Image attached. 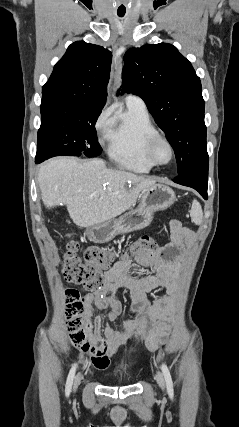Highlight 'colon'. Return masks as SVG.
I'll list each match as a JSON object with an SVG mask.
<instances>
[{
	"mask_svg": "<svg viewBox=\"0 0 239 427\" xmlns=\"http://www.w3.org/2000/svg\"><path fill=\"white\" fill-rule=\"evenodd\" d=\"M79 244L68 243L63 265V277L69 283L81 285L83 289L94 291L103 284V271L114 260V253L100 247H90L79 256ZM156 250V242L150 235L141 236L132 246L134 254H145ZM66 325L71 343L80 350H90L88 331L90 327V303L79 290L68 288L65 292Z\"/></svg>",
	"mask_w": 239,
	"mask_h": 427,
	"instance_id": "5ec220e1",
	"label": "colon"
}]
</instances>
